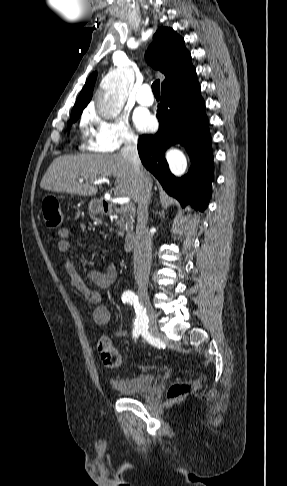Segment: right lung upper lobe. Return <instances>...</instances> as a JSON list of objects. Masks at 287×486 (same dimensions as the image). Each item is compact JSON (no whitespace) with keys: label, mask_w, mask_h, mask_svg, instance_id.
<instances>
[{"label":"right lung upper lobe","mask_w":287,"mask_h":486,"mask_svg":"<svg viewBox=\"0 0 287 486\" xmlns=\"http://www.w3.org/2000/svg\"><path fill=\"white\" fill-rule=\"evenodd\" d=\"M148 63L165 75L162 90L175 87L196 76L191 55L184 46V39L173 29L160 27L153 36V42L146 52ZM97 73H92L81 90L71 114L82 113L90 102Z\"/></svg>","instance_id":"obj_1"}]
</instances>
